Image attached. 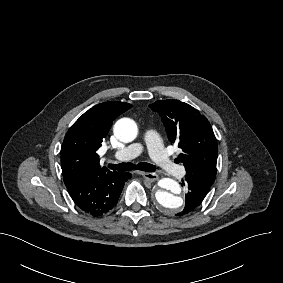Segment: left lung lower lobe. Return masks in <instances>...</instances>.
Returning <instances> with one entry per match:
<instances>
[{
	"label": "left lung lower lobe",
	"mask_w": 283,
	"mask_h": 283,
	"mask_svg": "<svg viewBox=\"0 0 283 283\" xmlns=\"http://www.w3.org/2000/svg\"><path fill=\"white\" fill-rule=\"evenodd\" d=\"M214 180L215 177L202 173H187L185 181L182 183V186L185 185L188 189V193L185 197V207L183 211L177 215L183 216L195 211L202 203L210 186L214 183Z\"/></svg>",
	"instance_id": "obj_1"
}]
</instances>
